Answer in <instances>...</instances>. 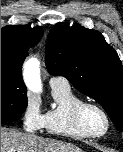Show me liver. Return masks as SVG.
<instances>
[{
	"mask_svg": "<svg viewBox=\"0 0 123 152\" xmlns=\"http://www.w3.org/2000/svg\"><path fill=\"white\" fill-rule=\"evenodd\" d=\"M1 152H83L70 143L1 128Z\"/></svg>",
	"mask_w": 123,
	"mask_h": 152,
	"instance_id": "1",
	"label": "liver"
}]
</instances>
